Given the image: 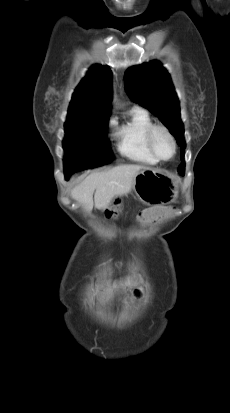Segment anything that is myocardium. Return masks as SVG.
<instances>
[{
	"label": "myocardium",
	"instance_id": "obj_1",
	"mask_svg": "<svg viewBox=\"0 0 230 413\" xmlns=\"http://www.w3.org/2000/svg\"><path fill=\"white\" fill-rule=\"evenodd\" d=\"M159 130L163 131V132L168 136V138L170 139V141H171V143H172V145H173V153H172V155H171L169 158H163V157H161V156L157 153V151H156V149H155V147H154V136H155V133H156L157 131H159ZM146 142H147V146H148L151 154L153 155V157H154L157 161H161V162L170 161V160H172V159L175 157V155H176V153H177V142H176V139H175L173 133L170 131V129H169L167 126L163 125V124H152V125L149 127V129H148V131H147V133H146Z\"/></svg>",
	"mask_w": 230,
	"mask_h": 413
}]
</instances>
